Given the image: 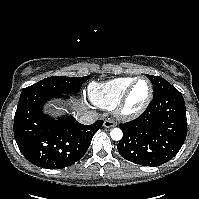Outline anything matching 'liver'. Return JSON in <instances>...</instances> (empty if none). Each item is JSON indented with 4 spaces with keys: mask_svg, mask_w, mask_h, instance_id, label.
Returning <instances> with one entry per match:
<instances>
[{
    "mask_svg": "<svg viewBox=\"0 0 199 199\" xmlns=\"http://www.w3.org/2000/svg\"><path fill=\"white\" fill-rule=\"evenodd\" d=\"M49 107H52L53 110V108L56 106L54 104H51ZM71 109L73 110V114L76 117L82 115L84 112L87 111L85 104L81 101H73L71 104Z\"/></svg>",
    "mask_w": 199,
    "mask_h": 199,
    "instance_id": "obj_1",
    "label": "liver"
}]
</instances>
